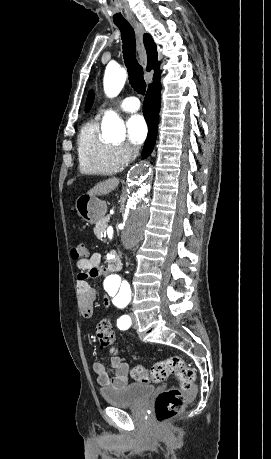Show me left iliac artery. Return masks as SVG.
I'll list each match as a JSON object with an SVG mask.
<instances>
[{"instance_id":"1","label":"left iliac artery","mask_w":271,"mask_h":459,"mask_svg":"<svg viewBox=\"0 0 271 459\" xmlns=\"http://www.w3.org/2000/svg\"><path fill=\"white\" fill-rule=\"evenodd\" d=\"M120 307L126 306V303L119 305ZM131 318L128 315H123L117 320V326L120 330H126L131 326Z\"/></svg>"}]
</instances>
